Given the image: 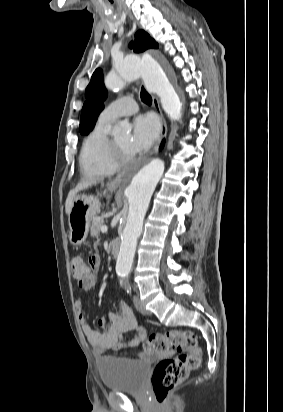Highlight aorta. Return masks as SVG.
<instances>
[{
    "mask_svg": "<svg viewBox=\"0 0 283 412\" xmlns=\"http://www.w3.org/2000/svg\"><path fill=\"white\" fill-rule=\"evenodd\" d=\"M138 78L144 81L148 90L160 97L161 106L171 119L180 118V99L163 67L150 54L125 58L117 66L116 71L105 78V86L110 90L119 89ZM129 129L128 123L120 122L112 134L118 135ZM163 172L164 162L153 159L148 164L128 172L124 177L123 191L129 207L116 262L118 276H126L131 271L137 239L142 233L143 220Z\"/></svg>",
    "mask_w": 283,
    "mask_h": 412,
    "instance_id": "1",
    "label": "aorta"
}]
</instances>
